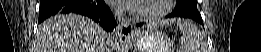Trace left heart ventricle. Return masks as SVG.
<instances>
[{"label": "left heart ventricle", "mask_w": 261, "mask_h": 52, "mask_svg": "<svg viewBox=\"0 0 261 52\" xmlns=\"http://www.w3.org/2000/svg\"><path fill=\"white\" fill-rule=\"evenodd\" d=\"M163 0L141 1L139 4L143 11H154L161 7Z\"/></svg>", "instance_id": "1"}]
</instances>
